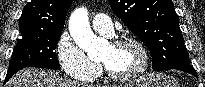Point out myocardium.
<instances>
[{
  "mask_svg": "<svg viewBox=\"0 0 205 87\" xmlns=\"http://www.w3.org/2000/svg\"><path fill=\"white\" fill-rule=\"evenodd\" d=\"M111 45L114 47L122 46V45H134L138 48L141 53L142 61L137 70L127 75H117L113 73L104 63H100L101 67L105 73V75L112 81L119 83H127L134 81L141 77L144 72L147 70L149 65V52L147 47L144 45L142 41L134 37H122L118 38L111 42Z\"/></svg>",
  "mask_w": 205,
  "mask_h": 87,
  "instance_id": "myocardium-1",
  "label": "myocardium"
}]
</instances>
